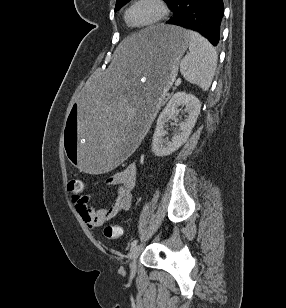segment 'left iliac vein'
I'll use <instances>...</instances> for the list:
<instances>
[{
  "instance_id": "4c4485c4",
  "label": "left iliac vein",
  "mask_w": 286,
  "mask_h": 308,
  "mask_svg": "<svg viewBox=\"0 0 286 308\" xmlns=\"http://www.w3.org/2000/svg\"><path fill=\"white\" fill-rule=\"evenodd\" d=\"M143 249V245L141 244H138L136 246H134L131 251H130V254H129V257H130V269H131V272L134 273L136 271V266H137V259L141 253Z\"/></svg>"
}]
</instances>
